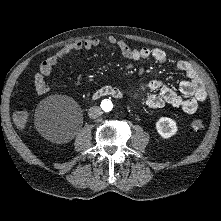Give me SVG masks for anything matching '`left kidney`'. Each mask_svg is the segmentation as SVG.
I'll list each match as a JSON object with an SVG mask.
<instances>
[{
	"label": "left kidney",
	"instance_id": "obj_1",
	"mask_svg": "<svg viewBox=\"0 0 221 221\" xmlns=\"http://www.w3.org/2000/svg\"><path fill=\"white\" fill-rule=\"evenodd\" d=\"M156 129L158 134L165 139L175 135L178 130L176 122L168 117H161L156 123Z\"/></svg>",
	"mask_w": 221,
	"mask_h": 221
}]
</instances>
